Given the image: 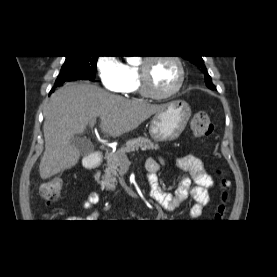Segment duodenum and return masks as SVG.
Masks as SVG:
<instances>
[{"mask_svg": "<svg viewBox=\"0 0 277 277\" xmlns=\"http://www.w3.org/2000/svg\"><path fill=\"white\" fill-rule=\"evenodd\" d=\"M102 161H103L102 154L98 151H94L90 153L88 156H86L84 160V166L85 168L90 170L97 169L102 164Z\"/></svg>", "mask_w": 277, "mask_h": 277, "instance_id": "obj_1", "label": "duodenum"}]
</instances>
